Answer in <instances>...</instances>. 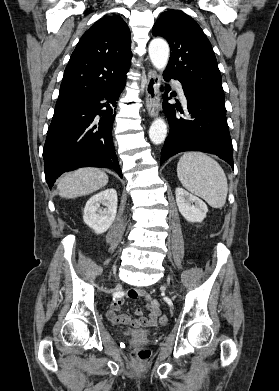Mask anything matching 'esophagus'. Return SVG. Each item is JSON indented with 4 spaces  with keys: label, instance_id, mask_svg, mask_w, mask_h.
<instances>
[{
    "label": "esophagus",
    "instance_id": "1",
    "mask_svg": "<svg viewBox=\"0 0 279 391\" xmlns=\"http://www.w3.org/2000/svg\"><path fill=\"white\" fill-rule=\"evenodd\" d=\"M160 85V76L154 70L148 72L146 83V108L149 116L155 117L158 114L160 106V95L158 87Z\"/></svg>",
    "mask_w": 279,
    "mask_h": 391
}]
</instances>
